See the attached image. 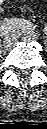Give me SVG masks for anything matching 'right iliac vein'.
<instances>
[{
    "label": "right iliac vein",
    "mask_w": 47,
    "mask_h": 129,
    "mask_svg": "<svg viewBox=\"0 0 47 129\" xmlns=\"http://www.w3.org/2000/svg\"><path fill=\"white\" fill-rule=\"evenodd\" d=\"M16 40H17V33L11 32L4 38L3 44L5 47L9 48L14 45Z\"/></svg>",
    "instance_id": "63e3f726"
}]
</instances>
